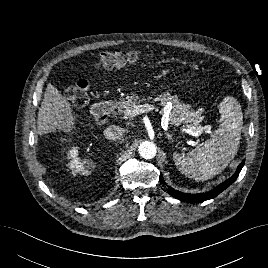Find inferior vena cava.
Returning a JSON list of instances; mask_svg holds the SVG:
<instances>
[{
    "label": "inferior vena cava",
    "mask_w": 268,
    "mask_h": 268,
    "mask_svg": "<svg viewBox=\"0 0 268 268\" xmlns=\"http://www.w3.org/2000/svg\"><path fill=\"white\" fill-rule=\"evenodd\" d=\"M125 130L120 126L111 125L104 130V135L109 140H120L123 138Z\"/></svg>",
    "instance_id": "inferior-vena-cava-1"
}]
</instances>
